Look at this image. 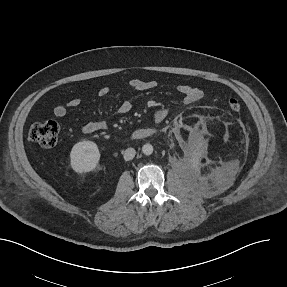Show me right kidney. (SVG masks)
<instances>
[{
    "label": "right kidney",
    "mask_w": 287,
    "mask_h": 287,
    "mask_svg": "<svg viewBox=\"0 0 287 287\" xmlns=\"http://www.w3.org/2000/svg\"><path fill=\"white\" fill-rule=\"evenodd\" d=\"M100 153L96 143L83 140L76 143L70 152V165L77 173L93 171L98 165Z\"/></svg>",
    "instance_id": "1"
}]
</instances>
